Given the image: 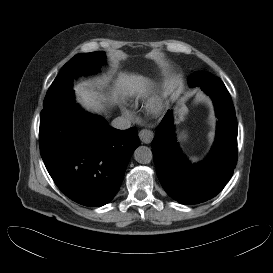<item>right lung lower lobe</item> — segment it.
<instances>
[{"instance_id": "obj_1", "label": "right lung lower lobe", "mask_w": 273, "mask_h": 273, "mask_svg": "<svg viewBox=\"0 0 273 273\" xmlns=\"http://www.w3.org/2000/svg\"><path fill=\"white\" fill-rule=\"evenodd\" d=\"M40 153L58 188L85 206L109 203L117 193L133 151L137 129L118 130L84 112L69 89L44 105Z\"/></svg>"}]
</instances>
